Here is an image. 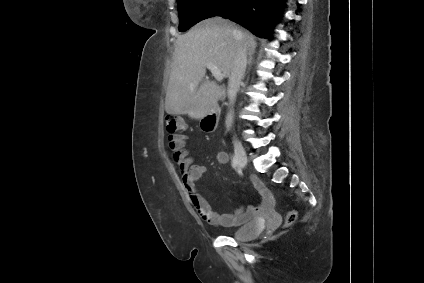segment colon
I'll return each mask as SVG.
<instances>
[{
  "mask_svg": "<svg viewBox=\"0 0 424 283\" xmlns=\"http://www.w3.org/2000/svg\"><path fill=\"white\" fill-rule=\"evenodd\" d=\"M165 125L166 129L170 133H175L184 127V121L180 116L168 114L165 116ZM296 219V213L294 211H290L286 216V224H292Z\"/></svg>",
  "mask_w": 424,
  "mask_h": 283,
  "instance_id": "colon-1",
  "label": "colon"
}]
</instances>
